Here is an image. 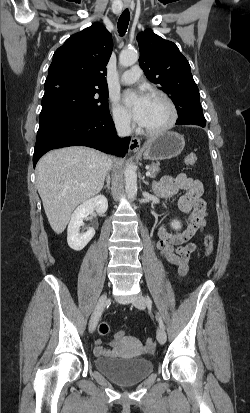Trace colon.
<instances>
[{
	"label": "colon",
	"instance_id": "1",
	"mask_svg": "<svg viewBox=\"0 0 250 413\" xmlns=\"http://www.w3.org/2000/svg\"><path fill=\"white\" fill-rule=\"evenodd\" d=\"M186 165H193L197 162V156L193 153L188 154L184 160ZM205 254L210 255L213 249V237L210 234H206L204 237ZM100 335H106L109 332V325L106 322L100 323L98 327ZM127 333L125 328H119L116 334L113 336V342H119L121 339H126ZM146 347L149 351L154 350L155 341L152 338L146 340Z\"/></svg>",
	"mask_w": 250,
	"mask_h": 413
}]
</instances>
